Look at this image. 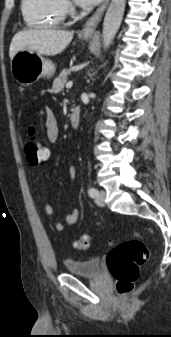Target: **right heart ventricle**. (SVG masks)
<instances>
[{
    "label": "right heart ventricle",
    "instance_id": "e07e8e85",
    "mask_svg": "<svg viewBox=\"0 0 171 337\" xmlns=\"http://www.w3.org/2000/svg\"><path fill=\"white\" fill-rule=\"evenodd\" d=\"M21 11L26 24L35 28L57 27L66 16L63 0H22Z\"/></svg>",
    "mask_w": 171,
    "mask_h": 337
}]
</instances>
